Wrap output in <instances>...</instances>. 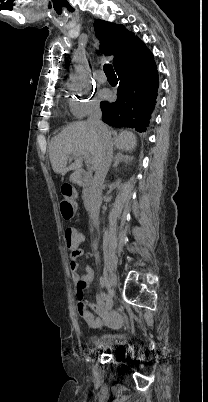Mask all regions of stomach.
I'll use <instances>...</instances> for the list:
<instances>
[{"label": "stomach", "instance_id": "1", "mask_svg": "<svg viewBox=\"0 0 208 402\" xmlns=\"http://www.w3.org/2000/svg\"><path fill=\"white\" fill-rule=\"evenodd\" d=\"M70 182H74V184H77V182H79L78 176H76V174H72V176H70Z\"/></svg>", "mask_w": 208, "mask_h": 402}]
</instances>
